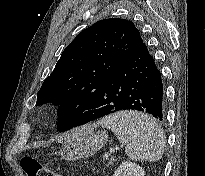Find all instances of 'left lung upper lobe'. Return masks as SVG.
I'll use <instances>...</instances> for the list:
<instances>
[{
  "instance_id": "obj_1",
  "label": "left lung upper lobe",
  "mask_w": 205,
  "mask_h": 176,
  "mask_svg": "<svg viewBox=\"0 0 205 176\" xmlns=\"http://www.w3.org/2000/svg\"><path fill=\"white\" fill-rule=\"evenodd\" d=\"M132 21L110 18L80 32L62 52L53 72L37 93L36 105L48 102L58 110L60 132L74 127L105 82L142 44Z\"/></svg>"
}]
</instances>
